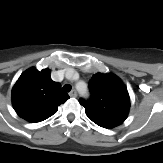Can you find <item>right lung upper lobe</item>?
Instances as JSON below:
<instances>
[{"instance_id":"right-lung-upper-lobe-1","label":"right lung upper lobe","mask_w":163,"mask_h":163,"mask_svg":"<svg viewBox=\"0 0 163 163\" xmlns=\"http://www.w3.org/2000/svg\"><path fill=\"white\" fill-rule=\"evenodd\" d=\"M51 71L32 67L21 74L12 89V104L16 113L29 122L43 121L58 110L69 96L50 77Z\"/></svg>"}]
</instances>
